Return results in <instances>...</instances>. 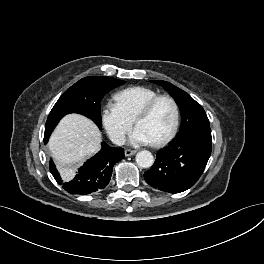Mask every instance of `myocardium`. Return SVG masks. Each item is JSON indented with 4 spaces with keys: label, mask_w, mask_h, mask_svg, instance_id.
Wrapping results in <instances>:
<instances>
[{
    "label": "myocardium",
    "mask_w": 264,
    "mask_h": 264,
    "mask_svg": "<svg viewBox=\"0 0 264 264\" xmlns=\"http://www.w3.org/2000/svg\"><path fill=\"white\" fill-rule=\"evenodd\" d=\"M161 100H168L172 104L173 109H174V120H173V124L169 132L163 138L152 142L154 146H161V145L168 143L170 140H172V138L177 133L179 122H180V109H179V106L176 100L170 95H166V94L158 95L154 97L153 99H151L150 101H148L134 118V124L137 126V123L141 119L146 118L152 112L156 104L160 102Z\"/></svg>",
    "instance_id": "myocardium-1"
}]
</instances>
